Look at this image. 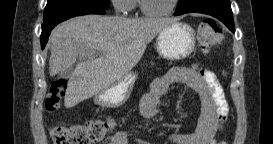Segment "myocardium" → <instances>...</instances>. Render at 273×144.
<instances>
[{
	"instance_id": "1",
	"label": "myocardium",
	"mask_w": 273,
	"mask_h": 144,
	"mask_svg": "<svg viewBox=\"0 0 273 144\" xmlns=\"http://www.w3.org/2000/svg\"><path fill=\"white\" fill-rule=\"evenodd\" d=\"M179 0H173L170 7L164 10H152L147 5V0L140 1L141 11L148 16H163L172 13L178 5Z\"/></svg>"
}]
</instances>
